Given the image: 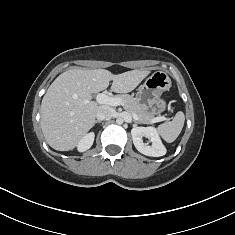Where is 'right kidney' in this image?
<instances>
[{
	"mask_svg": "<svg viewBox=\"0 0 235 235\" xmlns=\"http://www.w3.org/2000/svg\"><path fill=\"white\" fill-rule=\"evenodd\" d=\"M94 137H95V135H94L93 132L86 134L79 141V143L77 145L78 151L79 152H84V151L88 150L92 146V144L94 142Z\"/></svg>",
	"mask_w": 235,
	"mask_h": 235,
	"instance_id": "1",
	"label": "right kidney"
}]
</instances>
